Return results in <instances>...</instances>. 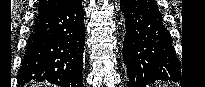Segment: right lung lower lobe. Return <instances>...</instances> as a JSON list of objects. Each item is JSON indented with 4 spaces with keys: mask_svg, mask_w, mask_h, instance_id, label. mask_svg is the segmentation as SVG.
Masks as SVG:
<instances>
[{
    "mask_svg": "<svg viewBox=\"0 0 205 87\" xmlns=\"http://www.w3.org/2000/svg\"><path fill=\"white\" fill-rule=\"evenodd\" d=\"M82 0L38 13L27 43L18 86L31 80L60 87H82L85 45Z\"/></svg>",
    "mask_w": 205,
    "mask_h": 87,
    "instance_id": "right-lung-lower-lobe-1",
    "label": "right lung lower lobe"
}]
</instances>
